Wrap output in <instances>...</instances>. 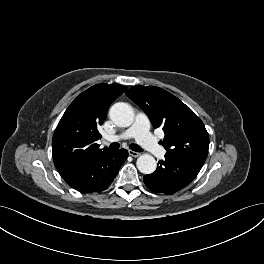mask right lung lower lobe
I'll return each mask as SVG.
<instances>
[{
	"mask_svg": "<svg viewBox=\"0 0 264 264\" xmlns=\"http://www.w3.org/2000/svg\"><path fill=\"white\" fill-rule=\"evenodd\" d=\"M127 157L128 152L125 149L109 150L90 163L62 177L72 188L79 192H101L113 182Z\"/></svg>",
	"mask_w": 264,
	"mask_h": 264,
	"instance_id": "obj_1",
	"label": "right lung lower lobe"
}]
</instances>
